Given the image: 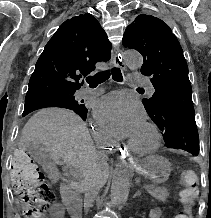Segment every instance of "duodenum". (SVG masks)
<instances>
[{
    "mask_svg": "<svg viewBox=\"0 0 211 218\" xmlns=\"http://www.w3.org/2000/svg\"><path fill=\"white\" fill-rule=\"evenodd\" d=\"M61 195L71 217L81 218L80 200L73 189L69 185L63 184L61 186Z\"/></svg>",
    "mask_w": 211,
    "mask_h": 218,
    "instance_id": "obj_1",
    "label": "duodenum"
}]
</instances>
